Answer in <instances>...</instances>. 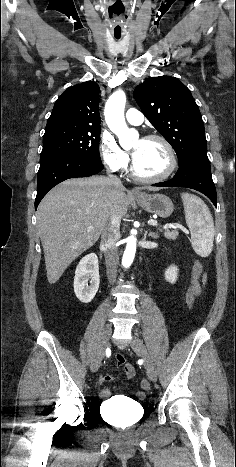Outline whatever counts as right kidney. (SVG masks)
<instances>
[{
    "label": "right kidney",
    "instance_id": "ca27d5eb",
    "mask_svg": "<svg viewBox=\"0 0 236 467\" xmlns=\"http://www.w3.org/2000/svg\"><path fill=\"white\" fill-rule=\"evenodd\" d=\"M90 283V284H88ZM100 283L98 258L94 253L83 257L77 265L74 277V292L82 303L95 297Z\"/></svg>",
    "mask_w": 236,
    "mask_h": 467
}]
</instances>
